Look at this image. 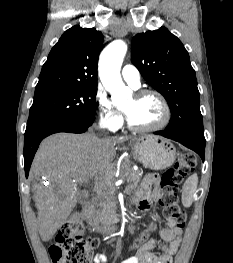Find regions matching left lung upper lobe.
<instances>
[{
    "label": "left lung upper lobe",
    "mask_w": 233,
    "mask_h": 263,
    "mask_svg": "<svg viewBox=\"0 0 233 263\" xmlns=\"http://www.w3.org/2000/svg\"><path fill=\"white\" fill-rule=\"evenodd\" d=\"M132 63L167 100L166 131L205 141L195 71L181 41L161 27L132 39Z\"/></svg>",
    "instance_id": "5c2ea615"
}]
</instances>
